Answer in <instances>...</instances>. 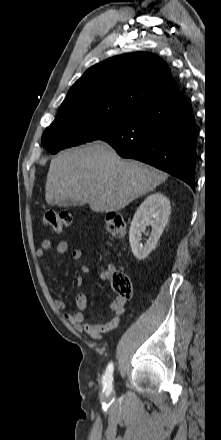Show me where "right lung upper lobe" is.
I'll use <instances>...</instances> for the list:
<instances>
[{"label":"right lung upper lobe","instance_id":"right-lung-upper-lobe-1","mask_svg":"<svg viewBox=\"0 0 221 440\" xmlns=\"http://www.w3.org/2000/svg\"><path fill=\"white\" fill-rule=\"evenodd\" d=\"M179 90L167 64L151 53L109 58L89 68L69 90L61 104L109 101L137 109Z\"/></svg>","mask_w":221,"mask_h":440}]
</instances>
